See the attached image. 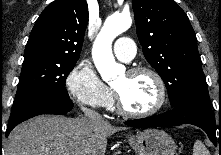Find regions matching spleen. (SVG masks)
Listing matches in <instances>:
<instances>
[{"label":"spleen","mask_w":221,"mask_h":155,"mask_svg":"<svg viewBox=\"0 0 221 155\" xmlns=\"http://www.w3.org/2000/svg\"><path fill=\"white\" fill-rule=\"evenodd\" d=\"M192 155H210V153L205 145L201 141L197 140L194 143Z\"/></svg>","instance_id":"3e777b00"}]
</instances>
